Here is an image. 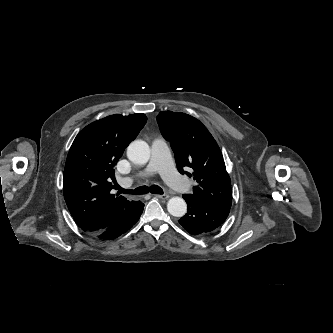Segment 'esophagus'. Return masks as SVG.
<instances>
[{"mask_svg":"<svg viewBox=\"0 0 333 333\" xmlns=\"http://www.w3.org/2000/svg\"><path fill=\"white\" fill-rule=\"evenodd\" d=\"M153 196L156 197V198H159V199H163V200H166V199L169 198L168 194H155Z\"/></svg>","mask_w":333,"mask_h":333,"instance_id":"obj_1","label":"esophagus"}]
</instances>
